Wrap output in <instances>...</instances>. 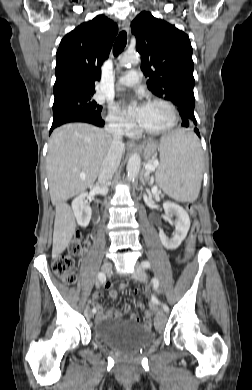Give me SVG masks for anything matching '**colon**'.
<instances>
[{
  "label": "colon",
  "instance_id": "1",
  "mask_svg": "<svg viewBox=\"0 0 252 390\" xmlns=\"http://www.w3.org/2000/svg\"><path fill=\"white\" fill-rule=\"evenodd\" d=\"M187 209L191 215L196 214V206L194 204H189ZM200 225L198 221H194L192 228L190 230L187 246H186V256L190 257L195 250L196 237L199 233ZM87 245V239L82 236H77L72 239L68 246V251L63 253L55 258L53 262V269L57 276H59L66 284H73L75 281V257L82 254ZM122 288L126 290L127 285L122 284ZM124 290V291H125ZM134 293H137V290H134ZM144 323L145 325H150L152 320V314L150 311L146 310L144 314Z\"/></svg>",
  "mask_w": 252,
  "mask_h": 390
}]
</instances>
